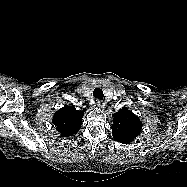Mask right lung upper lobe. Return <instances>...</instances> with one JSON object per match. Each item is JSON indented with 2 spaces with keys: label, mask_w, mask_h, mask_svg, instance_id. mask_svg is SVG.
Segmentation results:
<instances>
[{
  "label": "right lung upper lobe",
  "mask_w": 187,
  "mask_h": 187,
  "mask_svg": "<svg viewBox=\"0 0 187 187\" xmlns=\"http://www.w3.org/2000/svg\"><path fill=\"white\" fill-rule=\"evenodd\" d=\"M83 115V111L66 105L54 114L52 123L63 137H69L76 134L80 129Z\"/></svg>",
  "instance_id": "1"
}]
</instances>
